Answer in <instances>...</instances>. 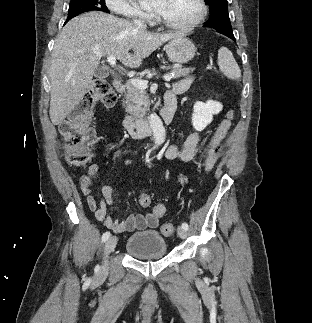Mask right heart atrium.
Returning <instances> with one entry per match:
<instances>
[{
    "label": "right heart atrium",
    "instance_id": "obj_1",
    "mask_svg": "<svg viewBox=\"0 0 312 323\" xmlns=\"http://www.w3.org/2000/svg\"><path fill=\"white\" fill-rule=\"evenodd\" d=\"M109 5L110 13H121V17H127V22H141V17H145L146 12L142 6H136L135 2L126 0H105Z\"/></svg>",
    "mask_w": 312,
    "mask_h": 323
}]
</instances>
